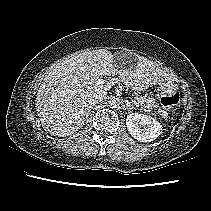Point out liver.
I'll return each instance as SVG.
<instances>
[{"label":"liver","instance_id":"liver-1","mask_svg":"<svg viewBox=\"0 0 211 211\" xmlns=\"http://www.w3.org/2000/svg\"><path fill=\"white\" fill-rule=\"evenodd\" d=\"M134 60L137 62L133 69L118 71L114 55L106 49H98L59 63L43 79L35 100L43 129L54 136H66L77 131L85 122L88 97L111 89L119 81L126 87L141 91L171 80L169 74L153 61L144 57ZM116 74H119V79L97 83L103 76Z\"/></svg>","mask_w":211,"mask_h":211}]
</instances>
